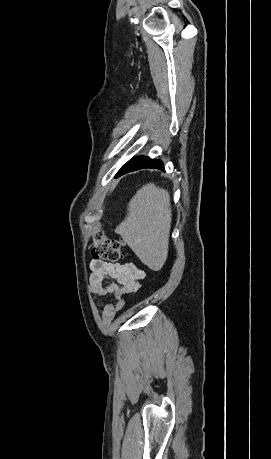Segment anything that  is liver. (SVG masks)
I'll use <instances>...</instances> for the list:
<instances>
[{"instance_id":"liver-1","label":"liver","mask_w":271,"mask_h":459,"mask_svg":"<svg viewBox=\"0 0 271 459\" xmlns=\"http://www.w3.org/2000/svg\"><path fill=\"white\" fill-rule=\"evenodd\" d=\"M171 216L169 192L146 184L130 200L127 216L115 231L142 263L159 271L168 255Z\"/></svg>"}]
</instances>
